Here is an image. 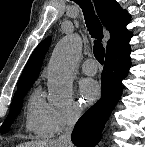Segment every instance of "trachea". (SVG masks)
<instances>
[{"instance_id":"trachea-1","label":"trachea","mask_w":145,"mask_h":147,"mask_svg":"<svg viewBox=\"0 0 145 147\" xmlns=\"http://www.w3.org/2000/svg\"><path fill=\"white\" fill-rule=\"evenodd\" d=\"M75 2L82 8L88 31L91 37L95 39L93 47L94 56L99 63L103 64L105 55V49L101 44L103 28L98 17L95 15L92 2L90 0H76Z\"/></svg>"}]
</instances>
